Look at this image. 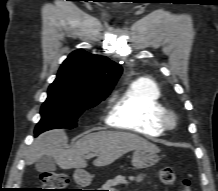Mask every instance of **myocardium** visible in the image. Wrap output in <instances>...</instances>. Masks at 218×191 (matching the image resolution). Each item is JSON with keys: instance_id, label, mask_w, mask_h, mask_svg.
<instances>
[{"instance_id": "obj_1", "label": "myocardium", "mask_w": 218, "mask_h": 191, "mask_svg": "<svg viewBox=\"0 0 218 191\" xmlns=\"http://www.w3.org/2000/svg\"><path fill=\"white\" fill-rule=\"evenodd\" d=\"M164 129L172 130L178 125L179 118L177 113L171 109H165L160 117Z\"/></svg>"}]
</instances>
